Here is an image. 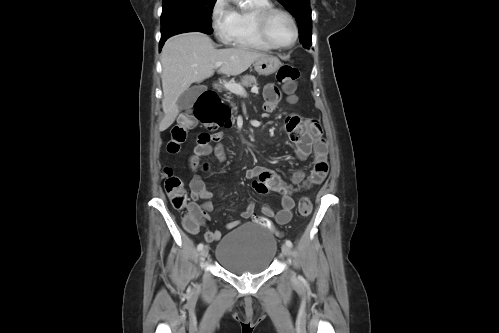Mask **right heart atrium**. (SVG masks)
<instances>
[{
  "label": "right heart atrium",
  "mask_w": 499,
  "mask_h": 333,
  "mask_svg": "<svg viewBox=\"0 0 499 333\" xmlns=\"http://www.w3.org/2000/svg\"><path fill=\"white\" fill-rule=\"evenodd\" d=\"M211 27L223 43H230L235 24L234 9L228 0H214L210 10Z\"/></svg>",
  "instance_id": "obj_1"
}]
</instances>
